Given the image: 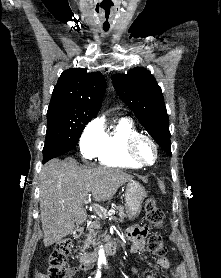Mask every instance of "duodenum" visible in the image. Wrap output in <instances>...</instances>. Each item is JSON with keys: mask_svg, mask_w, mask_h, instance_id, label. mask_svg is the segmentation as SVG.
Returning a JSON list of instances; mask_svg holds the SVG:
<instances>
[{"mask_svg": "<svg viewBox=\"0 0 221 278\" xmlns=\"http://www.w3.org/2000/svg\"><path fill=\"white\" fill-rule=\"evenodd\" d=\"M83 234V229L82 228H77L74 237L79 238ZM119 248L118 242L115 239H110L107 241L105 244V253L107 255H114L117 253ZM97 259V253L96 252H88L83 254L80 257V265L81 268L84 270H89L93 267L94 262Z\"/></svg>", "mask_w": 221, "mask_h": 278, "instance_id": "1", "label": "duodenum"}]
</instances>
